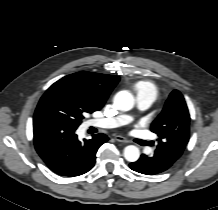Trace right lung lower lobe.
<instances>
[{
    "instance_id": "98d812e1",
    "label": "right lung lower lobe",
    "mask_w": 218,
    "mask_h": 210,
    "mask_svg": "<svg viewBox=\"0 0 218 210\" xmlns=\"http://www.w3.org/2000/svg\"><path fill=\"white\" fill-rule=\"evenodd\" d=\"M75 128L54 118L33 120L34 145L45 164L56 174L75 177L95 164L98 148L108 140L104 134L79 141Z\"/></svg>"
}]
</instances>
